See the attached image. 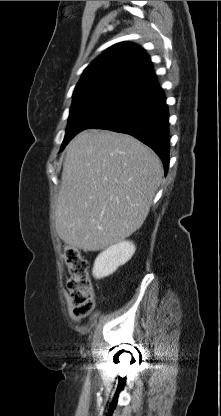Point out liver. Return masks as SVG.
Returning <instances> with one entry per match:
<instances>
[{"label":"liver","instance_id":"liver-1","mask_svg":"<svg viewBox=\"0 0 221 416\" xmlns=\"http://www.w3.org/2000/svg\"><path fill=\"white\" fill-rule=\"evenodd\" d=\"M156 153L124 133L90 129L68 145L55 228L70 247L98 251L132 235L161 183Z\"/></svg>","mask_w":221,"mask_h":416}]
</instances>
